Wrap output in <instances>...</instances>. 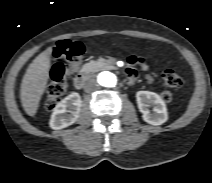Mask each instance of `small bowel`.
I'll return each instance as SVG.
<instances>
[{"instance_id":"1","label":"small bowel","mask_w":212,"mask_h":183,"mask_svg":"<svg viewBox=\"0 0 212 183\" xmlns=\"http://www.w3.org/2000/svg\"><path fill=\"white\" fill-rule=\"evenodd\" d=\"M128 69H127V73L129 75L130 80H133L135 78L136 75V66H139L142 70H147V65L144 61V59L140 58V57H136V56H131L128 59ZM147 81L149 83H151L153 81V78L151 75H147Z\"/></svg>"}]
</instances>
